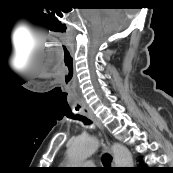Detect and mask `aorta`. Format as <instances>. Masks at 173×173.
Returning a JSON list of instances; mask_svg holds the SVG:
<instances>
[{"instance_id": "aorta-1", "label": "aorta", "mask_w": 173, "mask_h": 173, "mask_svg": "<svg viewBox=\"0 0 173 173\" xmlns=\"http://www.w3.org/2000/svg\"><path fill=\"white\" fill-rule=\"evenodd\" d=\"M99 142L95 137H77L69 146L68 157L71 163H78L90 157L98 148ZM115 167H133L130 151L119 143L112 146Z\"/></svg>"}]
</instances>
